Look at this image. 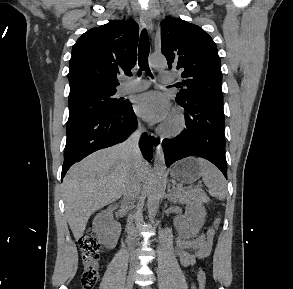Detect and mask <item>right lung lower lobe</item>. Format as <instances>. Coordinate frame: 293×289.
<instances>
[{"label": "right lung lower lobe", "instance_id": "98d812e1", "mask_svg": "<svg viewBox=\"0 0 293 289\" xmlns=\"http://www.w3.org/2000/svg\"><path fill=\"white\" fill-rule=\"evenodd\" d=\"M137 119L130 103L121 109L95 115L67 126V141L61 178L77 161L89 154L123 142L136 129ZM144 158L152 159L153 142L144 133L139 143Z\"/></svg>", "mask_w": 293, "mask_h": 289}]
</instances>
